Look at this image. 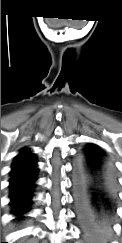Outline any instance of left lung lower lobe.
<instances>
[{
  "label": "left lung lower lobe",
  "mask_w": 122,
  "mask_h": 243,
  "mask_svg": "<svg viewBox=\"0 0 122 243\" xmlns=\"http://www.w3.org/2000/svg\"><path fill=\"white\" fill-rule=\"evenodd\" d=\"M74 190L85 243H109L117 202V178L110 159L98 148L77 159Z\"/></svg>",
  "instance_id": "0a47b994"
}]
</instances>
